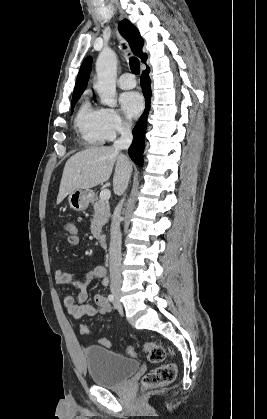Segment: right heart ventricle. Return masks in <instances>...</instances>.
Masks as SVG:
<instances>
[{
	"instance_id": "1",
	"label": "right heart ventricle",
	"mask_w": 267,
	"mask_h": 419,
	"mask_svg": "<svg viewBox=\"0 0 267 419\" xmlns=\"http://www.w3.org/2000/svg\"><path fill=\"white\" fill-rule=\"evenodd\" d=\"M74 126L81 138L89 145L98 146L106 140L101 126V109L84 99L74 118Z\"/></svg>"
}]
</instances>
